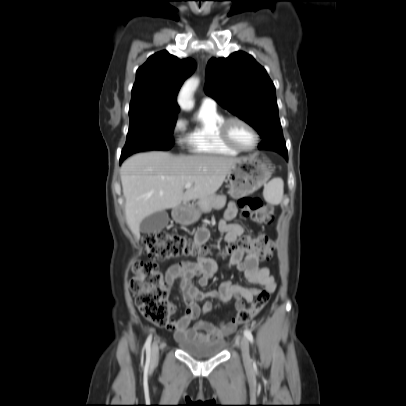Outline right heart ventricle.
<instances>
[{"label":"right heart ventricle","instance_id":"obj_1","mask_svg":"<svg viewBox=\"0 0 406 406\" xmlns=\"http://www.w3.org/2000/svg\"><path fill=\"white\" fill-rule=\"evenodd\" d=\"M224 118L216 106L199 108L196 123L185 138L192 153L219 156H236L239 153L220 138L219 127Z\"/></svg>","mask_w":406,"mask_h":406}]
</instances>
